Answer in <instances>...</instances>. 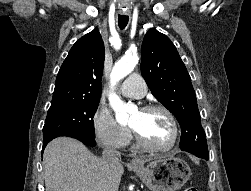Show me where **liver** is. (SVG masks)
<instances>
[{
    "instance_id": "6515ba94",
    "label": "liver",
    "mask_w": 251,
    "mask_h": 191,
    "mask_svg": "<svg viewBox=\"0 0 251 191\" xmlns=\"http://www.w3.org/2000/svg\"><path fill=\"white\" fill-rule=\"evenodd\" d=\"M46 191H118L124 167L108 163L73 137H56L44 149Z\"/></svg>"
}]
</instances>
